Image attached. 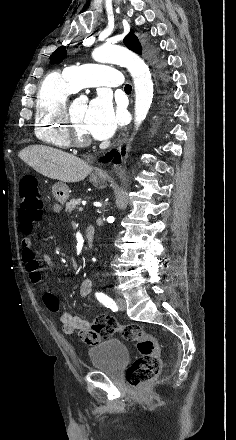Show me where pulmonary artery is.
<instances>
[{"mask_svg": "<svg viewBox=\"0 0 236 440\" xmlns=\"http://www.w3.org/2000/svg\"><path fill=\"white\" fill-rule=\"evenodd\" d=\"M64 75L75 91L82 87H125L120 71L109 65H74L67 67Z\"/></svg>", "mask_w": 236, "mask_h": 440, "instance_id": "1", "label": "pulmonary artery"}]
</instances>
